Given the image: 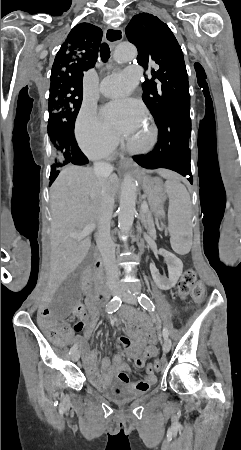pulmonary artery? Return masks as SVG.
Instances as JSON below:
<instances>
[{"label": "pulmonary artery", "mask_w": 241, "mask_h": 450, "mask_svg": "<svg viewBox=\"0 0 241 450\" xmlns=\"http://www.w3.org/2000/svg\"><path fill=\"white\" fill-rule=\"evenodd\" d=\"M146 71L141 64H126L121 74H102L100 76V92L104 95L105 102H118L119 97L131 94L133 85L130 78H145Z\"/></svg>", "instance_id": "obj_1"}]
</instances>
